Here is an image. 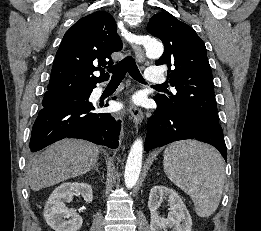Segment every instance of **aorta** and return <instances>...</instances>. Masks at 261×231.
<instances>
[{"label":"aorta","instance_id":"762f6f07","mask_svg":"<svg viewBox=\"0 0 261 231\" xmlns=\"http://www.w3.org/2000/svg\"><path fill=\"white\" fill-rule=\"evenodd\" d=\"M146 55L148 58H159L163 54V45L157 41L148 42L145 45ZM143 157V142L137 139L131 146L126 167H125V185L127 188H133L138 181Z\"/></svg>","mask_w":261,"mask_h":231}]
</instances>
